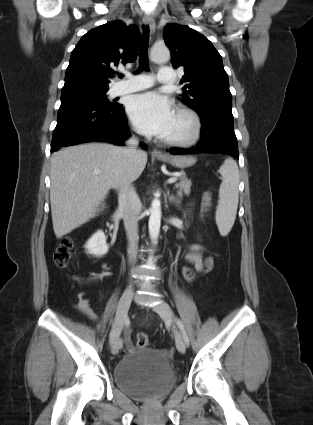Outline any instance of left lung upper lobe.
Returning <instances> with one entry per match:
<instances>
[{"label": "left lung upper lobe", "instance_id": "obj_1", "mask_svg": "<svg viewBox=\"0 0 313 425\" xmlns=\"http://www.w3.org/2000/svg\"><path fill=\"white\" fill-rule=\"evenodd\" d=\"M164 39L173 67H184L183 102L200 116L211 111L231 113L228 75L212 43L196 30L176 23L166 25Z\"/></svg>", "mask_w": 313, "mask_h": 425}]
</instances>
